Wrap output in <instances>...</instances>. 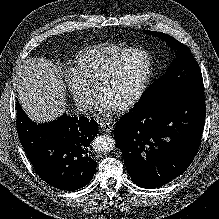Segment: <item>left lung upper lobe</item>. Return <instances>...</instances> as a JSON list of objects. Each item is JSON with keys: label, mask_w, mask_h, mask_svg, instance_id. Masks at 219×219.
Masks as SVG:
<instances>
[{"label": "left lung upper lobe", "mask_w": 219, "mask_h": 219, "mask_svg": "<svg viewBox=\"0 0 219 219\" xmlns=\"http://www.w3.org/2000/svg\"><path fill=\"white\" fill-rule=\"evenodd\" d=\"M145 32L163 39L177 51L168 71L145 91L135 109L148 111L177 97L204 92L201 70L190 49L168 34L149 30Z\"/></svg>", "instance_id": "1"}]
</instances>
